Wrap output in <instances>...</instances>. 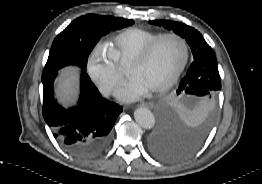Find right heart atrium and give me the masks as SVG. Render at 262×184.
Masks as SVG:
<instances>
[{
  "label": "right heart atrium",
  "mask_w": 262,
  "mask_h": 184,
  "mask_svg": "<svg viewBox=\"0 0 262 184\" xmlns=\"http://www.w3.org/2000/svg\"><path fill=\"white\" fill-rule=\"evenodd\" d=\"M87 71L90 79L106 96L115 91L123 77L111 53L102 46L95 47L90 53L87 60Z\"/></svg>",
  "instance_id": "d8ad5b80"
}]
</instances>
